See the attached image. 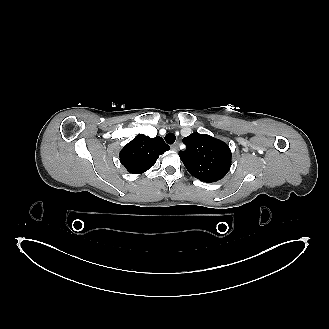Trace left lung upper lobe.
Returning a JSON list of instances; mask_svg holds the SVG:
<instances>
[{"label":"left lung upper lobe","mask_w":329,"mask_h":329,"mask_svg":"<svg viewBox=\"0 0 329 329\" xmlns=\"http://www.w3.org/2000/svg\"><path fill=\"white\" fill-rule=\"evenodd\" d=\"M183 142L186 150L179 156L192 176L212 183L228 173L232 154L225 142L198 132L183 138Z\"/></svg>","instance_id":"obj_1"}]
</instances>
